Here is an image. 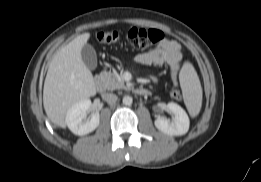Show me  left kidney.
I'll return each instance as SVG.
<instances>
[{
	"label": "left kidney",
	"mask_w": 261,
	"mask_h": 182,
	"mask_svg": "<svg viewBox=\"0 0 261 182\" xmlns=\"http://www.w3.org/2000/svg\"><path fill=\"white\" fill-rule=\"evenodd\" d=\"M165 108L171 112L174 117L170 121L158 116L154 121L156 128L168 135L180 136L186 134L189 130L190 121L185 110L174 102H169Z\"/></svg>",
	"instance_id": "1"
}]
</instances>
